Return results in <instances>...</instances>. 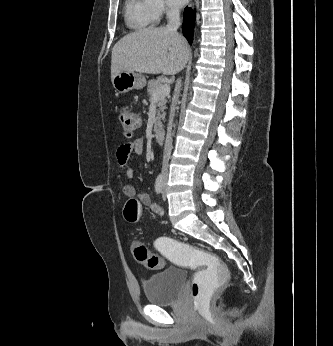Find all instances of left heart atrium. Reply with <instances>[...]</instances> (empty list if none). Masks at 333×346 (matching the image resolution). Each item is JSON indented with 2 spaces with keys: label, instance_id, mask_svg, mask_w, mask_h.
Returning a JSON list of instances; mask_svg holds the SVG:
<instances>
[{
  "label": "left heart atrium",
  "instance_id": "left-heart-atrium-1",
  "mask_svg": "<svg viewBox=\"0 0 333 346\" xmlns=\"http://www.w3.org/2000/svg\"><path fill=\"white\" fill-rule=\"evenodd\" d=\"M176 6L184 5L188 0H170Z\"/></svg>",
  "mask_w": 333,
  "mask_h": 346
}]
</instances>
